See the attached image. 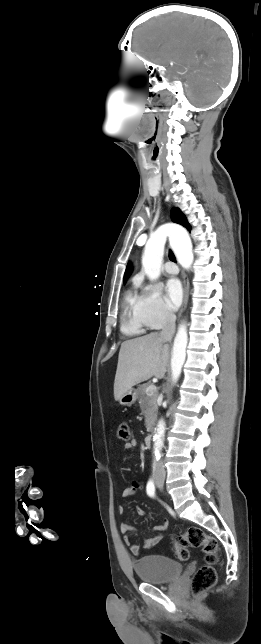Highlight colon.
I'll return each instance as SVG.
<instances>
[{
	"mask_svg": "<svg viewBox=\"0 0 261 644\" xmlns=\"http://www.w3.org/2000/svg\"><path fill=\"white\" fill-rule=\"evenodd\" d=\"M130 429L127 423L118 427V437L127 441L130 439ZM173 550L178 559L185 561L189 558V547H201L205 554V564L192 577V591L201 595L216 584L217 574L214 565L217 561L218 542L198 527H190L185 533H177L172 537Z\"/></svg>",
	"mask_w": 261,
	"mask_h": 644,
	"instance_id": "colon-1",
	"label": "colon"
}]
</instances>
